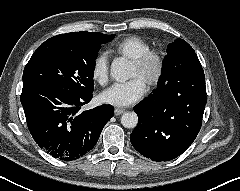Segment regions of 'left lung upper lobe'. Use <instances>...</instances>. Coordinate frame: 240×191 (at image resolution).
I'll return each instance as SVG.
<instances>
[{
  "label": "left lung upper lobe",
  "mask_w": 240,
  "mask_h": 191,
  "mask_svg": "<svg viewBox=\"0 0 240 191\" xmlns=\"http://www.w3.org/2000/svg\"><path fill=\"white\" fill-rule=\"evenodd\" d=\"M192 70L203 71L195 51L185 40L176 39L167 47V55L163 60L162 71L156 89L171 82L174 77Z\"/></svg>",
  "instance_id": "1"
}]
</instances>
